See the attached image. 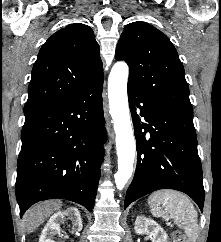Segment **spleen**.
Wrapping results in <instances>:
<instances>
[{
	"instance_id": "obj_1",
	"label": "spleen",
	"mask_w": 221,
	"mask_h": 242,
	"mask_svg": "<svg viewBox=\"0 0 221 242\" xmlns=\"http://www.w3.org/2000/svg\"><path fill=\"white\" fill-rule=\"evenodd\" d=\"M148 204L153 216L170 217L176 225L184 229L191 242L197 240L199 234L197 211L186 195L174 190H160L149 196Z\"/></svg>"
}]
</instances>
